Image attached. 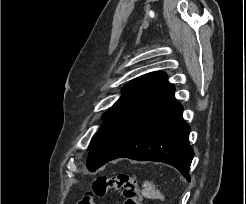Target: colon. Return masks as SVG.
Wrapping results in <instances>:
<instances>
[{
  "label": "colon",
  "instance_id": "1",
  "mask_svg": "<svg viewBox=\"0 0 246 204\" xmlns=\"http://www.w3.org/2000/svg\"><path fill=\"white\" fill-rule=\"evenodd\" d=\"M108 190L119 192L123 198V204H141L140 189L137 180L127 174L106 178L98 177L91 185V189L85 192L77 204H95V197L104 196Z\"/></svg>",
  "mask_w": 246,
  "mask_h": 204
}]
</instances>
